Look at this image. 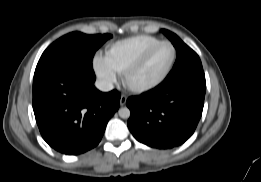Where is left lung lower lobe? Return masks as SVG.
Segmentation results:
<instances>
[{"label":"left lung lower lobe","instance_id":"obj_1","mask_svg":"<svg viewBox=\"0 0 261 182\" xmlns=\"http://www.w3.org/2000/svg\"><path fill=\"white\" fill-rule=\"evenodd\" d=\"M205 91L203 73L129 97L128 128L139 142L150 147L181 145L194 133L201 118Z\"/></svg>","mask_w":261,"mask_h":182}]
</instances>
